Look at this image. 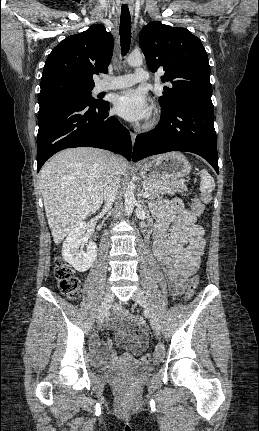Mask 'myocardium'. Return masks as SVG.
Segmentation results:
<instances>
[{
  "mask_svg": "<svg viewBox=\"0 0 259 431\" xmlns=\"http://www.w3.org/2000/svg\"><path fill=\"white\" fill-rule=\"evenodd\" d=\"M159 122V116L158 115H154L150 121L145 125L146 129H151L153 127H155Z\"/></svg>",
  "mask_w": 259,
  "mask_h": 431,
  "instance_id": "obj_1",
  "label": "myocardium"
}]
</instances>
